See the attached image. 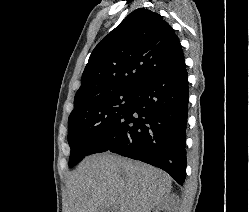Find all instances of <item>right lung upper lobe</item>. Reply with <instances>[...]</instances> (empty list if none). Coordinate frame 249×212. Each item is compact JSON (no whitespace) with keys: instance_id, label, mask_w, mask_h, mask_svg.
Masks as SVG:
<instances>
[{"instance_id":"1","label":"right lung upper lobe","mask_w":249,"mask_h":212,"mask_svg":"<svg viewBox=\"0 0 249 212\" xmlns=\"http://www.w3.org/2000/svg\"><path fill=\"white\" fill-rule=\"evenodd\" d=\"M180 41L162 16L139 8L95 47L74 98V108L100 95L135 92L178 64Z\"/></svg>"}]
</instances>
